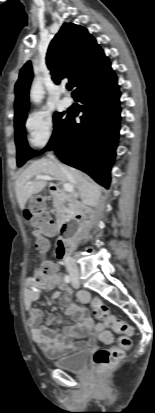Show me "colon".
<instances>
[{"label": "colon", "mask_w": 155, "mask_h": 413, "mask_svg": "<svg viewBox=\"0 0 155 413\" xmlns=\"http://www.w3.org/2000/svg\"><path fill=\"white\" fill-rule=\"evenodd\" d=\"M45 200V192H34L33 200L23 210V215L34 228V235L36 238L34 247L43 259L41 270L46 275H52L54 270L53 265L47 259L49 243L42 235L43 230L50 229L51 227V220L46 210ZM90 305L98 320L103 321L115 332L123 335L116 345L109 348H100L95 352L94 363L100 371L104 372L114 368L122 360L124 353L130 350V336L133 333V329L124 319L113 315L108 306L100 299L95 298L91 300Z\"/></svg>", "instance_id": "colon-1"}]
</instances>
